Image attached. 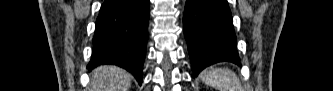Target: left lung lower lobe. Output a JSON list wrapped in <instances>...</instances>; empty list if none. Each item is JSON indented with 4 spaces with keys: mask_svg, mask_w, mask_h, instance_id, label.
<instances>
[{
    "mask_svg": "<svg viewBox=\"0 0 333 91\" xmlns=\"http://www.w3.org/2000/svg\"><path fill=\"white\" fill-rule=\"evenodd\" d=\"M183 24L195 76L218 62L238 64L236 36L227 0H187Z\"/></svg>",
    "mask_w": 333,
    "mask_h": 91,
    "instance_id": "left-lung-lower-lobe-1",
    "label": "left lung lower lobe"
}]
</instances>
